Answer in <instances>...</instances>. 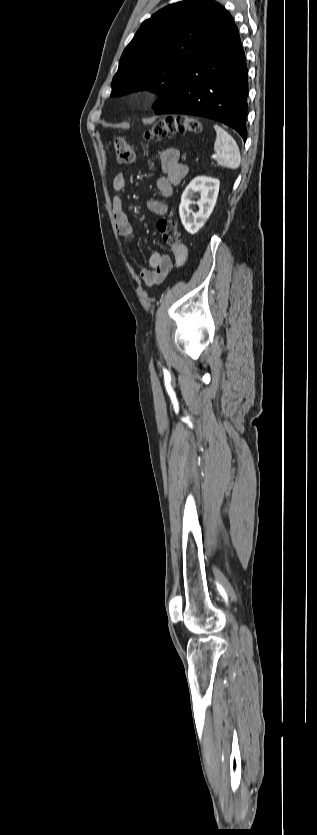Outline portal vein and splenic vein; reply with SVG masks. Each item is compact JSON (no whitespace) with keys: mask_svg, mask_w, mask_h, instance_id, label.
Listing matches in <instances>:
<instances>
[{"mask_svg":"<svg viewBox=\"0 0 317 835\" xmlns=\"http://www.w3.org/2000/svg\"><path fill=\"white\" fill-rule=\"evenodd\" d=\"M216 159H217V156H216V155H213V156H211V157H210V161H211V162H213V161H214V160H216Z\"/></svg>","mask_w":317,"mask_h":835,"instance_id":"obj_1","label":"portal vein and splenic vein"}]
</instances>
